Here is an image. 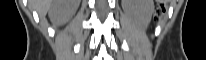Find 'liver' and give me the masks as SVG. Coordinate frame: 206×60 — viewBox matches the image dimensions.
I'll return each instance as SVG.
<instances>
[{
	"instance_id": "1",
	"label": "liver",
	"mask_w": 206,
	"mask_h": 60,
	"mask_svg": "<svg viewBox=\"0 0 206 60\" xmlns=\"http://www.w3.org/2000/svg\"><path fill=\"white\" fill-rule=\"evenodd\" d=\"M80 0H31L30 4L44 17L49 9L50 19L56 25L65 24L75 13Z\"/></svg>"
}]
</instances>
